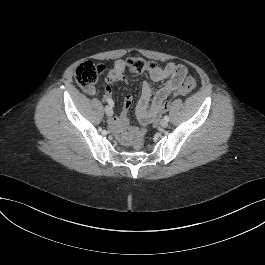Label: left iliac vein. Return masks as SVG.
<instances>
[{
	"instance_id": "left-iliac-vein-1",
	"label": "left iliac vein",
	"mask_w": 265,
	"mask_h": 265,
	"mask_svg": "<svg viewBox=\"0 0 265 265\" xmlns=\"http://www.w3.org/2000/svg\"><path fill=\"white\" fill-rule=\"evenodd\" d=\"M160 125H161V127L166 128L168 126V121H166L165 119H162L160 121Z\"/></svg>"
}]
</instances>
